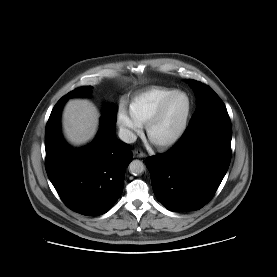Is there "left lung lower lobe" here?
<instances>
[{
  "mask_svg": "<svg viewBox=\"0 0 277 277\" xmlns=\"http://www.w3.org/2000/svg\"><path fill=\"white\" fill-rule=\"evenodd\" d=\"M231 121L219 111L188 126L168 152L146 161L154 194L170 211H194L207 204L231 159Z\"/></svg>",
  "mask_w": 277,
  "mask_h": 277,
  "instance_id": "0a47b994",
  "label": "left lung lower lobe"
}]
</instances>
